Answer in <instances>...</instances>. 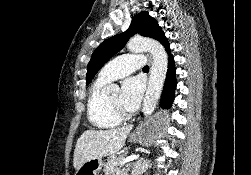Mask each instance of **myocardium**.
Listing matches in <instances>:
<instances>
[{
	"label": "myocardium",
	"mask_w": 251,
	"mask_h": 175,
	"mask_svg": "<svg viewBox=\"0 0 251 175\" xmlns=\"http://www.w3.org/2000/svg\"><path fill=\"white\" fill-rule=\"evenodd\" d=\"M108 103V107L110 109V111L115 114V115H120L121 111L119 109H115L113 108V106L111 105V103L109 101H107Z\"/></svg>",
	"instance_id": "obj_1"
}]
</instances>
